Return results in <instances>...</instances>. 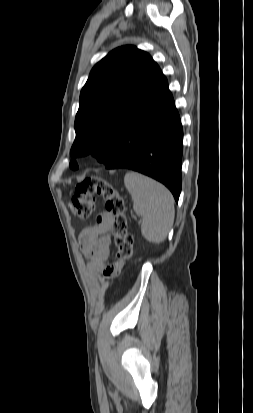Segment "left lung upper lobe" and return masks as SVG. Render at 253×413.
Here are the masks:
<instances>
[{
    "mask_svg": "<svg viewBox=\"0 0 253 413\" xmlns=\"http://www.w3.org/2000/svg\"><path fill=\"white\" fill-rule=\"evenodd\" d=\"M164 79L148 53L134 46L111 51L93 67L81 90L70 154L91 153L105 165L114 160L124 122L141 112ZM70 167L78 168L74 159Z\"/></svg>",
    "mask_w": 253,
    "mask_h": 413,
    "instance_id": "5c2ea615",
    "label": "left lung upper lobe"
}]
</instances>
